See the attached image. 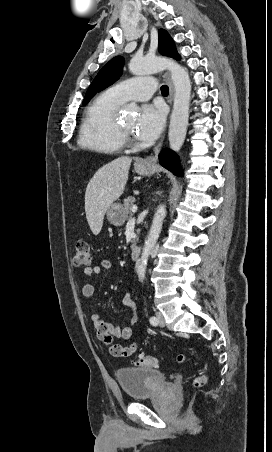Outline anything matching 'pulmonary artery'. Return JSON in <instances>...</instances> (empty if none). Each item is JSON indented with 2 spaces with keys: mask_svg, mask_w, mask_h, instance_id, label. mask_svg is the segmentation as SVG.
<instances>
[{
  "mask_svg": "<svg viewBox=\"0 0 272 452\" xmlns=\"http://www.w3.org/2000/svg\"><path fill=\"white\" fill-rule=\"evenodd\" d=\"M156 82L149 77H134L117 83L108 92L119 102L146 101L154 93Z\"/></svg>",
  "mask_w": 272,
  "mask_h": 452,
  "instance_id": "obj_1",
  "label": "pulmonary artery"
}]
</instances>
